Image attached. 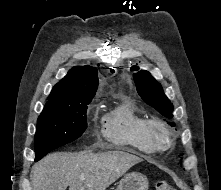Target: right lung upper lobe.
Returning a JSON list of instances; mask_svg holds the SVG:
<instances>
[{"label":"right lung upper lobe","mask_w":221,"mask_h":190,"mask_svg":"<svg viewBox=\"0 0 221 190\" xmlns=\"http://www.w3.org/2000/svg\"><path fill=\"white\" fill-rule=\"evenodd\" d=\"M98 71L91 66L73 67L52 89L44 108L73 107L91 100L98 87Z\"/></svg>","instance_id":"right-lung-upper-lobe-1"}]
</instances>
